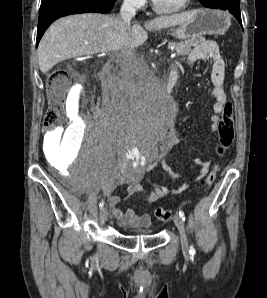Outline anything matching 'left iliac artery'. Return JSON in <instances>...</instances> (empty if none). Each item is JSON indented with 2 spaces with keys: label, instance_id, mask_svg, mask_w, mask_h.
I'll list each match as a JSON object with an SVG mask.
<instances>
[{
  "label": "left iliac artery",
  "instance_id": "left-iliac-artery-1",
  "mask_svg": "<svg viewBox=\"0 0 267 298\" xmlns=\"http://www.w3.org/2000/svg\"><path fill=\"white\" fill-rule=\"evenodd\" d=\"M179 215L182 218L183 221H185V215L184 212L182 210L179 211ZM191 255H194L196 253L195 248L193 247V245L190 246V250H189Z\"/></svg>",
  "mask_w": 267,
  "mask_h": 298
}]
</instances>
